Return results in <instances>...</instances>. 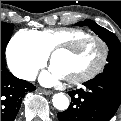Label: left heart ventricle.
Returning a JSON list of instances; mask_svg holds the SVG:
<instances>
[{
  "label": "left heart ventricle",
  "instance_id": "1",
  "mask_svg": "<svg viewBox=\"0 0 121 121\" xmlns=\"http://www.w3.org/2000/svg\"><path fill=\"white\" fill-rule=\"evenodd\" d=\"M102 55V48L96 41L87 42L83 48L73 55L58 53L52 60V67L63 78H73L85 74L95 68Z\"/></svg>",
  "mask_w": 121,
  "mask_h": 121
}]
</instances>
